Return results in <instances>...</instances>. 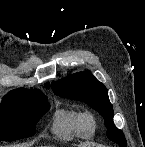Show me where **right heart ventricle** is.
Wrapping results in <instances>:
<instances>
[{"label": "right heart ventricle", "mask_w": 145, "mask_h": 147, "mask_svg": "<svg viewBox=\"0 0 145 147\" xmlns=\"http://www.w3.org/2000/svg\"><path fill=\"white\" fill-rule=\"evenodd\" d=\"M52 132L60 138H88L94 129L84 119V112L68 106L58 108L53 116Z\"/></svg>", "instance_id": "1"}]
</instances>
